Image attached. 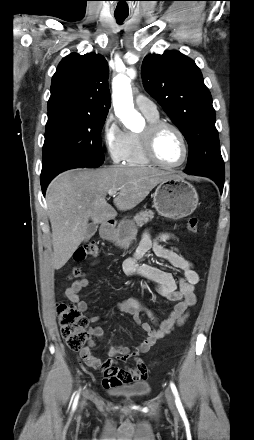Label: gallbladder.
I'll return each mask as SVG.
<instances>
[{"label":"gallbladder","instance_id":"bac80fb5","mask_svg":"<svg viewBox=\"0 0 254 440\" xmlns=\"http://www.w3.org/2000/svg\"><path fill=\"white\" fill-rule=\"evenodd\" d=\"M97 229H98V225L96 223L93 222L89 223L84 237V241H88L96 233Z\"/></svg>","mask_w":254,"mask_h":440}]
</instances>
